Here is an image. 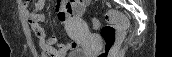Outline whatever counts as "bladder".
<instances>
[{"instance_id":"obj_1","label":"bladder","mask_w":172,"mask_h":57,"mask_svg":"<svg viewBox=\"0 0 172 57\" xmlns=\"http://www.w3.org/2000/svg\"><path fill=\"white\" fill-rule=\"evenodd\" d=\"M69 57H85L84 55H82L81 53H76V54H72Z\"/></svg>"}]
</instances>
